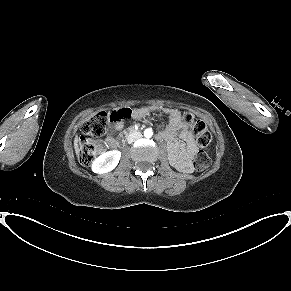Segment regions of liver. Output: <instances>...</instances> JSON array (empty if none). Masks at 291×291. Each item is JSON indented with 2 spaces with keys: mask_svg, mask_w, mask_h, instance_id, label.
Returning a JSON list of instances; mask_svg holds the SVG:
<instances>
[{
  "mask_svg": "<svg viewBox=\"0 0 291 291\" xmlns=\"http://www.w3.org/2000/svg\"><path fill=\"white\" fill-rule=\"evenodd\" d=\"M74 147H75L76 154H78L79 148H78V140L77 139L74 141Z\"/></svg>",
  "mask_w": 291,
  "mask_h": 291,
  "instance_id": "obj_1",
  "label": "liver"
}]
</instances>
